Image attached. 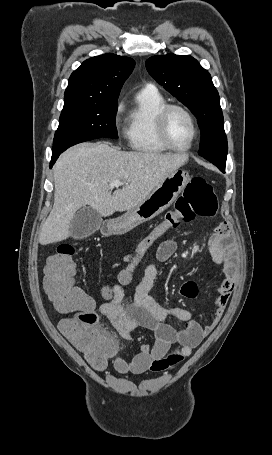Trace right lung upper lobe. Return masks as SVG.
Returning a JSON list of instances; mask_svg holds the SVG:
<instances>
[{"label":"right lung upper lobe","instance_id":"cb5924a9","mask_svg":"<svg viewBox=\"0 0 272 455\" xmlns=\"http://www.w3.org/2000/svg\"><path fill=\"white\" fill-rule=\"evenodd\" d=\"M134 65L133 59L111 53L87 59L71 74L64 104L117 102Z\"/></svg>","mask_w":272,"mask_h":455}]
</instances>
